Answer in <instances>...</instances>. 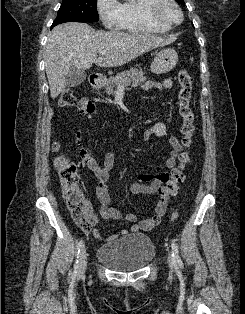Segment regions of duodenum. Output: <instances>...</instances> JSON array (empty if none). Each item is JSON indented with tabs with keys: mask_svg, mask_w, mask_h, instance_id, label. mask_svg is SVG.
I'll list each match as a JSON object with an SVG mask.
<instances>
[{
	"mask_svg": "<svg viewBox=\"0 0 245 314\" xmlns=\"http://www.w3.org/2000/svg\"><path fill=\"white\" fill-rule=\"evenodd\" d=\"M90 84L94 88H99L101 85V79L97 75L90 76Z\"/></svg>",
	"mask_w": 245,
	"mask_h": 314,
	"instance_id": "410a0bca",
	"label": "duodenum"
}]
</instances>
